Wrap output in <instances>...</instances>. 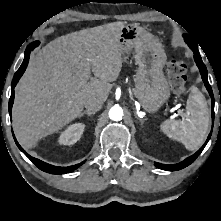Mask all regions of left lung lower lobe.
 <instances>
[{"instance_id": "left-lung-lower-lobe-1", "label": "left lung lower lobe", "mask_w": 221, "mask_h": 221, "mask_svg": "<svg viewBox=\"0 0 221 221\" xmlns=\"http://www.w3.org/2000/svg\"><path fill=\"white\" fill-rule=\"evenodd\" d=\"M194 52V59L195 62L200 70L201 76H202V80L211 96L212 99V109H214V97H213V92H212V88L208 82V77H207V69L206 66L204 65V63L202 62L201 56L199 54V52L193 51ZM212 117H214V112L212 111ZM212 133V132H211ZM211 133L208 136L207 141L205 142V144L192 156L188 157L187 159H185L184 161H182L181 163L175 164V165H165V164H160V163H155V166L163 169V170H167V171H176V170H180L183 169L185 167H187L188 165H190L202 152V150L204 149V147L206 146L207 142L209 141L210 137H211Z\"/></svg>"}]
</instances>
